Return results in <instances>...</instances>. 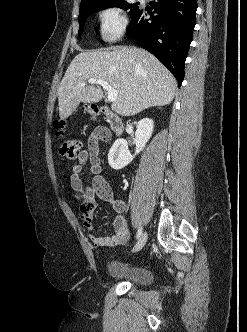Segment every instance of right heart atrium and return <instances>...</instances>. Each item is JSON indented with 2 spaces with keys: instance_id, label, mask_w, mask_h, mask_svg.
Returning <instances> with one entry per match:
<instances>
[{
  "instance_id": "obj_1",
  "label": "right heart atrium",
  "mask_w": 247,
  "mask_h": 332,
  "mask_svg": "<svg viewBox=\"0 0 247 332\" xmlns=\"http://www.w3.org/2000/svg\"><path fill=\"white\" fill-rule=\"evenodd\" d=\"M98 17L101 36L106 42L119 40L127 30L128 19L120 6L109 5L101 9Z\"/></svg>"
}]
</instances>
